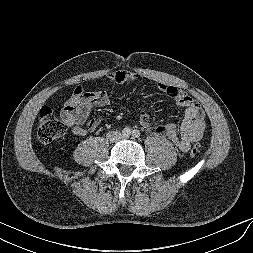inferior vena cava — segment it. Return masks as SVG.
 Here are the masks:
<instances>
[{
	"label": "inferior vena cava",
	"mask_w": 253,
	"mask_h": 253,
	"mask_svg": "<svg viewBox=\"0 0 253 253\" xmlns=\"http://www.w3.org/2000/svg\"><path fill=\"white\" fill-rule=\"evenodd\" d=\"M106 137L109 141L116 142L122 138V134L116 130V131L108 132Z\"/></svg>",
	"instance_id": "1"
}]
</instances>
